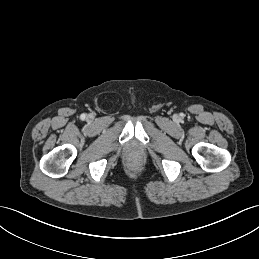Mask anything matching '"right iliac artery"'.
I'll list each match as a JSON object with an SVG mask.
<instances>
[{"label": "right iliac artery", "instance_id": "right-iliac-artery-1", "mask_svg": "<svg viewBox=\"0 0 259 259\" xmlns=\"http://www.w3.org/2000/svg\"><path fill=\"white\" fill-rule=\"evenodd\" d=\"M80 117H81L82 120H84L86 118V114L83 113V114H81Z\"/></svg>", "mask_w": 259, "mask_h": 259}]
</instances>
